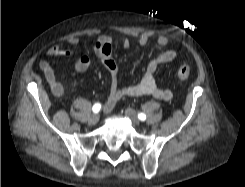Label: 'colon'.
<instances>
[{
  "mask_svg": "<svg viewBox=\"0 0 245 187\" xmlns=\"http://www.w3.org/2000/svg\"><path fill=\"white\" fill-rule=\"evenodd\" d=\"M190 75V67L186 63H182L177 70V78L180 83L187 81Z\"/></svg>",
  "mask_w": 245,
  "mask_h": 187,
  "instance_id": "obj_1",
  "label": "colon"
}]
</instances>
